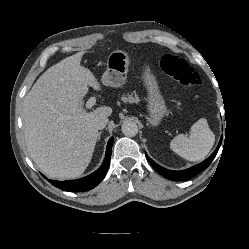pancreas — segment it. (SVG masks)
Returning a JSON list of instances; mask_svg holds the SVG:
<instances>
[{"instance_id": "1", "label": "pancreas", "mask_w": 249, "mask_h": 249, "mask_svg": "<svg viewBox=\"0 0 249 249\" xmlns=\"http://www.w3.org/2000/svg\"><path fill=\"white\" fill-rule=\"evenodd\" d=\"M121 100L124 102V103H138L140 101V98L137 96L136 92H133L131 94H123L122 97H121Z\"/></svg>"}]
</instances>
